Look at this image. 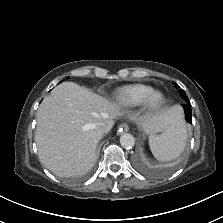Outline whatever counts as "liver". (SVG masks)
<instances>
[{
  "label": "liver",
  "mask_w": 223,
  "mask_h": 223,
  "mask_svg": "<svg viewBox=\"0 0 223 223\" xmlns=\"http://www.w3.org/2000/svg\"><path fill=\"white\" fill-rule=\"evenodd\" d=\"M179 112L177 107L163 109L137 121L147 133H158L170 127ZM120 115V107L108 99L74 82L59 84L37 110L35 141L40 162L57 176L85 174L95 163L101 138L96 125L104 122L108 132Z\"/></svg>",
  "instance_id": "1"
}]
</instances>
